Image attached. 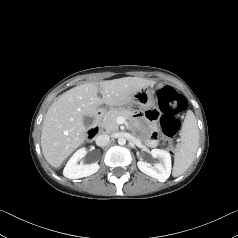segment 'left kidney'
<instances>
[{"mask_svg": "<svg viewBox=\"0 0 238 238\" xmlns=\"http://www.w3.org/2000/svg\"><path fill=\"white\" fill-rule=\"evenodd\" d=\"M151 155L153 158H157L159 162L151 165L144 161H138L139 170L159 181H165L169 178L172 169L170 153L161 149H153Z\"/></svg>", "mask_w": 238, "mask_h": 238, "instance_id": "left-kidney-1", "label": "left kidney"}]
</instances>
